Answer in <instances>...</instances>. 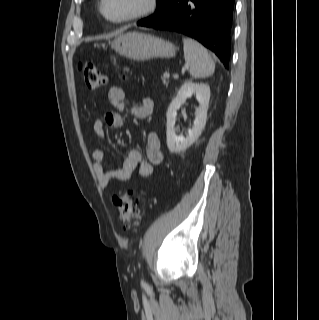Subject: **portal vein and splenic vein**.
<instances>
[{
    "label": "portal vein and splenic vein",
    "instance_id": "portal-vein-and-splenic-vein-1",
    "mask_svg": "<svg viewBox=\"0 0 319 320\" xmlns=\"http://www.w3.org/2000/svg\"><path fill=\"white\" fill-rule=\"evenodd\" d=\"M164 77H165V78H169V77H170V74L166 72V73H164Z\"/></svg>",
    "mask_w": 319,
    "mask_h": 320
}]
</instances>
